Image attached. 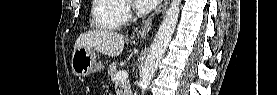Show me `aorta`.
I'll list each match as a JSON object with an SVG mask.
<instances>
[{
	"label": "aorta",
	"instance_id": "762f6f07",
	"mask_svg": "<svg viewBox=\"0 0 277 95\" xmlns=\"http://www.w3.org/2000/svg\"><path fill=\"white\" fill-rule=\"evenodd\" d=\"M180 4L181 0H171L163 21L150 45L140 79L142 95L147 91L174 34L180 13Z\"/></svg>",
	"mask_w": 277,
	"mask_h": 95
}]
</instances>
